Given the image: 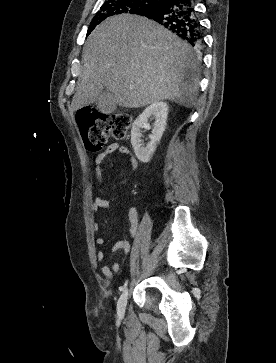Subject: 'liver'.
<instances>
[{
    "label": "liver",
    "mask_w": 276,
    "mask_h": 363,
    "mask_svg": "<svg viewBox=\"0 0 276 363\" xmlns=\"http://www.w3.org/2000/svg\"><path fill=\"white\" fill-rule=\"evenodd\" d=\"M84 69L71 109L100 99L104 88L125 108L162 100L190 107L199 88V59L192 47L145 17L118 15L89 35Z\"/></svg>",
    "instance_id": "obj_1"
}]
</instances>
